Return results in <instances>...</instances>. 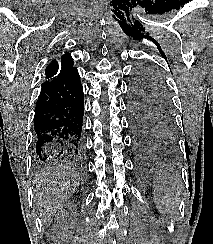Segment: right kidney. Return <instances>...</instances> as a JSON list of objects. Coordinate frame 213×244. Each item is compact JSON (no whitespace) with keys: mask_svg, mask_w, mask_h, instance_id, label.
<instances>
[{"mask_svg":"<svg viewBox=\"0 0 213 244\" xmlns=\"http://www.w3.org/2000/svg\"><path fill=\"white\" fill-rule=\"evenodd\" d=\"M70 207H73V205H72V204H70V205H68L66 208H70Z\"/></svg>","mask_w":213,"mask_h":244,"instance_id":"ca27d5eb","label":"right kidney"}]
</instances>
